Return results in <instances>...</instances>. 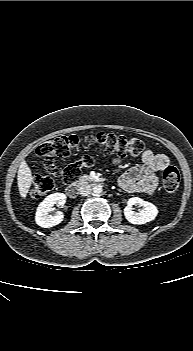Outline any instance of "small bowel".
Segmentation results:
<instances>
[{
  "mask_svg": "<svg viewBox=\"0 0 193 351\" xmlns=\"http://www.w3.org/2000/svg\"><path fill=\"white\" fill-rule=\"evenodd\" d=\"M141 162L142 165L131 167L120 177L119 186L129 193L153 197L158 186L156 173L168 165L169 159L164 154L146 150L141 156ZM113 163L120 164L121 158L115 157Z\"/></svg>",
  "mask_w": 193,
  "mask_h": 351,
  "instance_id": "small-bowel-1",
  "label": "small bowel"
}]
</instances>
